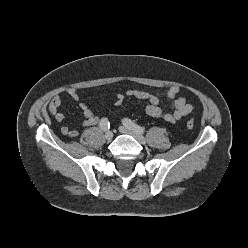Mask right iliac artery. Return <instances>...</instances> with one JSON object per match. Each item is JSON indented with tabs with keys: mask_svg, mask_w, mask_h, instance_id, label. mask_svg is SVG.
<instances>
[{
	"mask_svg": "<svg viewBox=\"0 0 248 248\" xmlns=\"http://www.w3.org/2000/svg\"><path fill=\"white\" fill-rule=\"evenodd\" d=\"M99 126L103 131H106L110 128V123L107 118H102Z\"/></svg>",
	"mask_w": 248,
	"mask_h": 248,
	"instance_id": "82829eb1",
	"label": "right iliac artery"
}]
</instances>
